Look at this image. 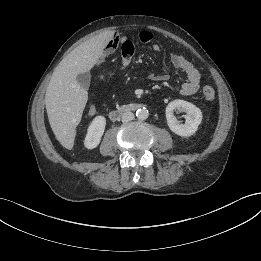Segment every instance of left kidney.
<instances>
[{"label": "left kidney", "mask_w": 261, "mask_h": 261, "mask_svg": "<svg viewBox=\"0 0 261 261\" xmlns=\"http://www.w3.org/2000/svg\"><path fill=\"white\" fill-rule=\"evenodd\" d=\"M185 112V123L180 124L173 114L174 110ZM166 119L168 127L175 134L182 137H189L196 133L198 126L202 121L201 110L190 102L184 100H174L166 107Z\"/></svg>", "instance_id": "obj_1"}]
</instances>
